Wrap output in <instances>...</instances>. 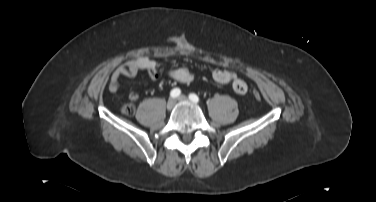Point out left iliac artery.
<instances>
[{"label":"left iliac artery","instance_id":"left-iliac-artery-1","mask_svg":"<svg viewBox=\"0 0 376 202\" xmlns=\"http://www.w3.org/2000/svg\"><path fill=\"white\" fill-rule=\"evenodd\" d=\"M189 99H190L192 102H194V103H198V102H199V97H198L196 94H194V93H191V94L189 95Z\"/></svg>","mask_w":376,"mask_h":202}]
</instances>
